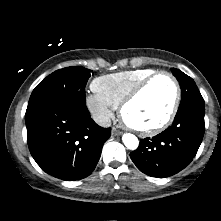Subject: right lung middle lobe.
<instances>
[{
  "mask_svg": "<svg viewBox=\"0 0 221 221\" xmlns=\"http://www.w3.org/2000/svg\"><path fill=\"white\" fill-rule=\"evenodd\" d=\"M91 70L84 67L59 69L43 79L33 90L27 110L54 102L85 103V86Z\"/></svg>",
  "mask_w": 221,
  "mask_h": 221,
  "instance_id": "obj_1",
  "label": "right lung middle lobe"
}]
</instances>
